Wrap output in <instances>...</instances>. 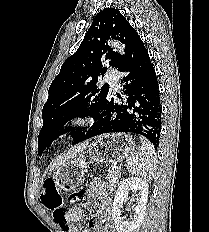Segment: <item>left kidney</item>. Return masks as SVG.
<instances>
[{
	"instance_id": "obj_1",
	"label": "left kidney",
	"mask_w": 209,
	"mask_h": 232,
	"mask_svg": "<svg viewBox=\"0 0 209 232\" xmlns=\"http://www.w3.org/2000/svg\"><path fill=\"white\" fill-rule=\"evenodd\" d=\"M148 188V183L142 178L131 177L121 181L112 207L114 224L118 232H134L143 223L148 199ZM130 191H135L137 193L136 199L132 200L136 203L134 208L135 214L131 221H124L121 217V208L123 203L128 201V194Z\"/></svg>"
}]
</instances>
